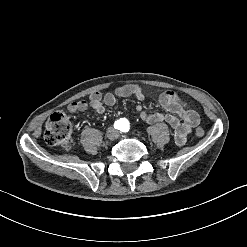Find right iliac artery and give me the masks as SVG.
I'll list each match as a JSON object with an SVG mask.
<instances>
[{
  "label": "right iliac artery",
  "instance_id": "1",
  "mask_svg": "<svg viewBox=\"0 0 247 247\" xmlns=\"http://www.w3.org/2000/svg\"><path fill=\"white\" fill-rule=\"evenodd\" d=\"M119 126H120V121L119 120L115 121L114 128L119 129Z\"/></svg>",
  "mask_w": 247,
  "mask_h": 247
}]
</instances>
